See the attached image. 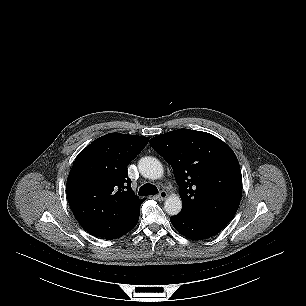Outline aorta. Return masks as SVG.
Wrapping results in <instances>:
<instances>
[{
  "label": "aorta",
  "mask_w": 306,
  "mask_h": 306,
  "mask_svg": "<svg viewBox=\"0 0 306 306\" xmlns=\"http://www.w3.org/2000/svg\"><path fill=\"white\" fill-rule=\"evenodd\" d=\"M138 169L143 177L151 180L160 179L164 172L161 162L150 156L139 160ZM181 209L182 201L177 195L169 196L164 202V210L170 216L177 215Z\"/></svg>",
  "instance_id": "1"
}]
</instances>
